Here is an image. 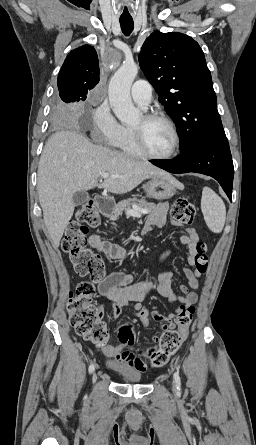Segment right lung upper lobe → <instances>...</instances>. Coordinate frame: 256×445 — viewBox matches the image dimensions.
Instances as JSON below:
<instances>
[{"mask_svg":"<svg viewBox=\"0 0 256 445\" xmlns=\"http://www.w3.org/2000/svg\"><path fill=\"white\" fill-rule=\"evenodd\" d=\"M58 89L86 99L88 90L99 82L98 56L93 46L84 45L72 50L65 59L59 75Z\"/></svg>","mask_w":256,"mask_h":445,"instance_id":"right-lung-upper-lobe-1","label":"right lung upper lobe"}]
</instances>
